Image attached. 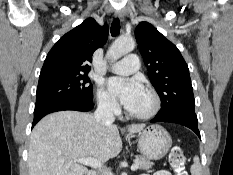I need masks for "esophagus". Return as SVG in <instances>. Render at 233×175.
Instances as JSON below:
<instances>
[{
	"mask_svg": "<svg viewBox=\"0 0 233 175\" xmlns=\"http://www.w3.org/2000/svg\"><path fill=\"white\" fill-rule=\"evenodd\" d=\"M115 16H116L117 18H119L121 21L124 20V14H123L122 11H116V12H115Z\"/></svg>",
	"mask_w": 233,
	"mask_h": 175,
	"instance_id": "obj_1",
	"label": "esophagus"
}]
</instances>
